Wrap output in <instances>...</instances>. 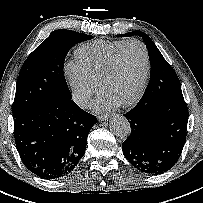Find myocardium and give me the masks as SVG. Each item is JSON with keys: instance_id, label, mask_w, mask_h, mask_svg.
Masks as SVG:
<instances>
[{"instance_id": "1", "label": "myocardium", "mask_w": 203, "mask_h": 203, "mask_svg": "<svg viewBox=\"0 0 203 203\" xmlns=\"http://www.w3.org/2000/svg\"><path fill=\"white\" fill-rule=\"evenodd\" d=\"M131 44H136L142 49L145 63H144L143 77H142L141 83H140L139 88L137 89L136 93L129 100H127L123 103H120L121 106H125V107L131 106L134 103H136L141 98V96L143 95V93L146 89L148 79H149V74H150V66H151L150 65V55H149L146 45L138 39H129V40L124 41L111 55L110 59L108 60L107 64L105 65V67L101 73L100 79H99V88H100V91H103L106 81L108 80V78L111 76V74L115 70V67L117 65L118 58L120 56L121 51L126 46L131 45Z\"/></svg>"}]
</instances>
